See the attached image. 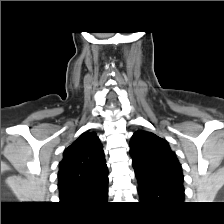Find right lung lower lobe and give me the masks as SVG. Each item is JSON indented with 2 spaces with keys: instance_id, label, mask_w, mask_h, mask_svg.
Segmentation results:
<instances>
[{
  "instance_id": "obj_1",
  "label": "right lung lower lobe",
  "mask_w": 224,
  "mask_h": 224,
  "mask_svg": "<svg viewBox=\"0 0 224 224\" xmlns=\"http://www.w3.org/2000/svg\"><path fill=\"white\" fill-rule=\"evenodd\" d=\"M108 196V190L106 192H104L101 196H99L98 198H96L97 201H106Z\"/></svg>"
}]
</instances>
